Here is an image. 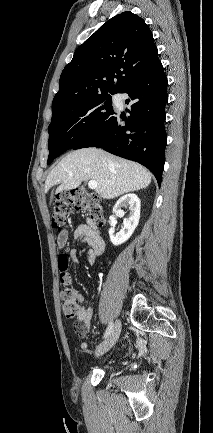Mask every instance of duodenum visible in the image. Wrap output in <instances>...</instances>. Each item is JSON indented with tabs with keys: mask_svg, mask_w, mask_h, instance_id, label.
<instances>
[{
	"mask_svg": "<svg viewBox=\"0 0 213 433\" xmlns=\"http://www.w3.org/2000/svg\"><path fill=\"white\" fill-rule=\"evenodd\" d=\"M91 227H92V230H93L97 235L100 236V233H99V231L97 230V228H96V226H95V222H94L93 220H91Z\"/></svg>",
	"mask_w": 213,
	"mask_h": 433,
	"instance_id": "obj_1",
	"label": "duodenum"
}]
</instances>
